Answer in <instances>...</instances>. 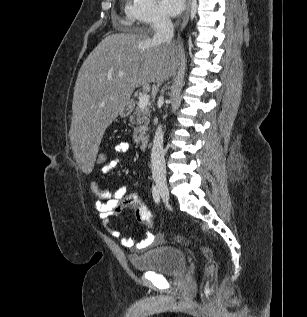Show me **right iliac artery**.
<instances>
[{
	"label": "right iliac artery",
	"mask_w": 307,
	"mask_h": 317,
	"mask_svg": "<svg viewBox=\"0 0 307 317\" xmlns=\"http://www.w3.org/2000/svg\"><path fill=\"white\" fill-rule=\"evenodd\" d=\"M152 196H153L155 203L159 204L160 192H159L157 185H155V184L152 185Z\"/></svg>",
	"instance_id": "right-iliac-artery-1"
}]
</instances>
